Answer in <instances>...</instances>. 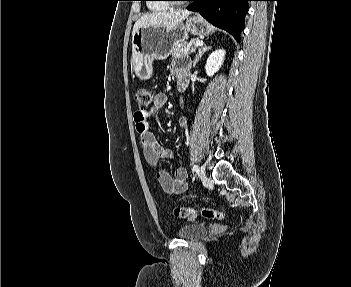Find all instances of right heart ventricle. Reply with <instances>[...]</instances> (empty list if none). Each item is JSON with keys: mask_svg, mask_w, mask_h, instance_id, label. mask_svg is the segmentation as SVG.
Here are the masks:
<instances>
[{"mask_svg": "<svg viewBox=\"0 0 351 287\" xmlns=\"http://www.w3.org/2000/svg\"><path fill=\"white\" fill-rule=\"evenodd\" d=\"M150 2L151 3L148 4V7L152 11H161L167 8L165 4L160 3L158 0H151Z\"/></svg>", "mask_w": 351, "mask_h": 287, "instance_id": "1", "label": "right heart ventricle"}]
</instances>
